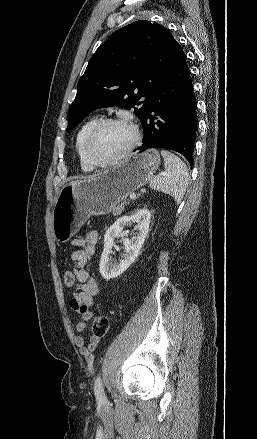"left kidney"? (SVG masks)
I'll return each mask as SVG.
<instances>
[{
    "instance_id": "obj_1",
    "label": "left kidney",
    "mask_w": 257,
    "mask_h": 439,
    "mask_svg": "<svg viewBox=\"0 0 257 439\" xmlns=\"http://www.w3.org/2000/svg\"><path fill=\"white\" fill-rule=\"evenodd\" d=\"M150 219L151 213L143 208L137 210L132 215L120 217L108 228L104 235V249L99 264V270L104 279L110 280L120 276L137 259L142 245L148 236ZM133 223L136 224L137 233L132 239L124 238L127 235V231H124V228ZM118 236L123 238L125 254L123 259L116 263L111 259V253L114 240Z\"/></svg>"
}]
</instances>
